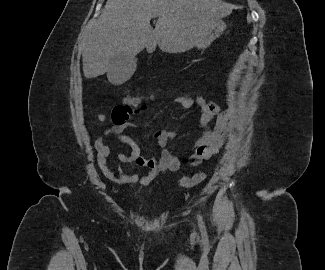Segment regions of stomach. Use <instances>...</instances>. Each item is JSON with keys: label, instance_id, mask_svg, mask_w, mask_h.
I'll list each match as a JSON object with an SVG mask.
<instances>
[{"label": "stomach", "instance_id": "obj_1", "mask_svg": "<svg viewBox=\"0 0 325 270\" xmlns=\"http://www.w3.org/2000/svg\"><path fill=\"white\" fill-rule=\"evenodd\" d=\"M226 29V24L221 20H217L215 24L207 31L205 37L199 44L198 48H206L211 42H213L216 38H218Z\"/></svg>", "mask_w": 325, "mask_h": 270}]
</instances>
